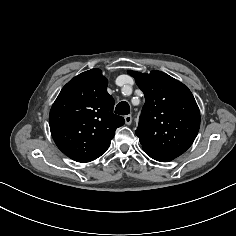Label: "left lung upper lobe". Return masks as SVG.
Segmentation results:
<instances>
[{
    "label": "left lung upper lobe",
    "instance_id": "obj_1",
    "mask_svg": "<svg viewBox=\"0 0 236 236\" xmlns=\"http://www.w3.org/2000/svg\"><path fill=\"white\" fill-rule=\"evenodd\" d=\"M145 95L136 130L143 149L184 153L200 127V111L187 86L161 71L128 72Z\"/></svg>",
    "mask_w": 236,
    "mask_h": 236
}]
</instances>
